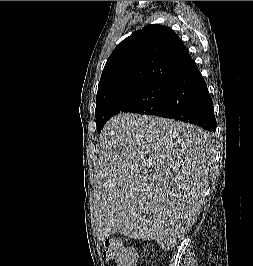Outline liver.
<instances>
[{"instance_id":"liver-1","label":"liver","mask_w":253,"mask_h":266,"mask_svg":"<svg viewBox=\"0 0 253 266\" xmlns=\"http://www.w3.org/2000/svg\"><path fill=\"white\" fill-rule=\"evenodd\" d=\"M98 240L120 232L169 250L195 224L208 187L212 136L161 117L119 114L99 138Z\"/></svg>"}]
</instances>
